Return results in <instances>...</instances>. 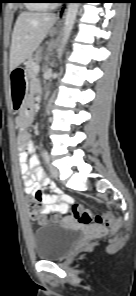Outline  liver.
<instances>
[{
    "instance_id": "obj_1",
    "label": "liver",
    "mask_w": 136,
    "mask_h": 296,
    "mask_svg": "<svg viewBox=\"0 0 136 296\" xmlns=\"http://www.w3.org/2000/svg\"><path fill=\"white\" fill-rule=\"evenodd\" d=\"M57 17L53 13L22 12L15 23L10 48V71L29 59Z\"/></svg>"
}]
</instances>
